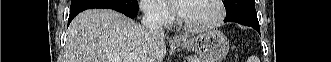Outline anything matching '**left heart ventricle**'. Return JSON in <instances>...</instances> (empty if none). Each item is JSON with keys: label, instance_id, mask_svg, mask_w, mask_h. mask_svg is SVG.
<instances>
[{"label": "left heart ventricle", "instance_id": "b2bd125f", "mask_svg": "<svg viewBox=\"0 0 331 62\" xmlns=\"http://www.w3.org/2000/svg\"><path fill=\"white\" fill-rule=\"evenodd\" d=\"M217 14L212 0H190L185 2L181 16L186 22L198 25L211 22Z\"/></svg>", "mask_w": 331, "mask_h": 62}]
</instances>
